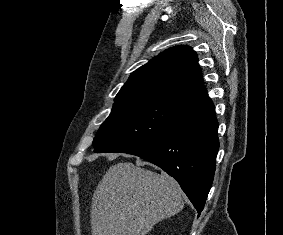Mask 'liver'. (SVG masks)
<instances>
[{"instance_id":"1","label":"liver","mask_w":283,"mask_h":235,"mask_svg":"<svg viewBox=\"0 0 283 235\" xmlns=\"http://www.w3.org/2000/svg\"><path fill=\"white\" fill-rule=\"evenodd\" d=\"M120 162L111 166L93 195L92 235H146L183 209V192L166 173Z\"/></svg>"}]
</instances>
